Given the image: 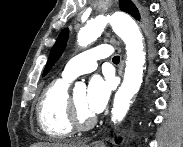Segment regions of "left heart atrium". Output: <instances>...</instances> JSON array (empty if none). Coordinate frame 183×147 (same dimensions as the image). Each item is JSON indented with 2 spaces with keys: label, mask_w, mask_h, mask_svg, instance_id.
<instances>
[{
  "label": "left heart atrium",
  "mask_w": 183,
  "mask_h": 147,
  "mask_svg": "<svg viewBox=\"0 0 183 147\" xmlns=\"http://www.w3.org/2000/svg\"><path fill=\"white\" fill-rule=\"evenodd\" d=\"M112 90L109 79L99 76L93 77L88 85L86 94V109L92 114H99L106 107Z\"/></svg>",
  "instance_id": "left-heart-atrium-1"
}]
</instances>
